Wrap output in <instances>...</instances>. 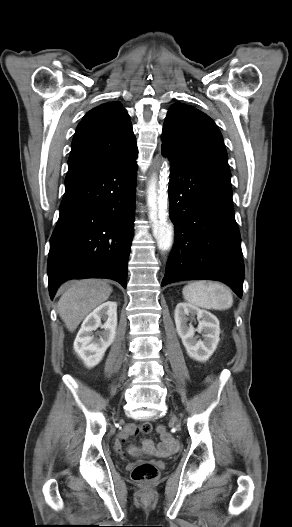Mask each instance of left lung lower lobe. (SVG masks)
<instances>
[{"instance_id":"0a47b994","label":"left lung lower lobe","mask_w":292,"mask_h":527,"mask_svg":"<svg viewBox=\"0 0 292 527\" xmlns=\"http://www.w3.org/2000/svg\"><path fill=\"white\" fill-rule=\"evenodd\" d=\"M162 154L171 162L170 218L175 225V243L162 286L183 280H219L241 298L244 264L230 171L185 161L165 149Z\"/></svg>"}]
</instances>
